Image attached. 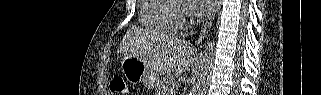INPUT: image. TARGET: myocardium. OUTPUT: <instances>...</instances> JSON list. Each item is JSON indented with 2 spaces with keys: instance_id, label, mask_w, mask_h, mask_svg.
<instances>
[{
  "instance_id": "obj_1",
  "label": "myocardium",
  "mask_w": 321,
  "mask_h": 95,
  "mask_svg": "<svg viewBox=\"0 0 321 95\" xmlns=\"http://www.w3.org/2000/svg\"><path fill=\"white\" fill-rule=\"evenodd\" d=\"M174 21L177 27L182 28L187 26V22L183 15V9L181 5H176L175 7Z\"/></svg>"
}]
</instances>
